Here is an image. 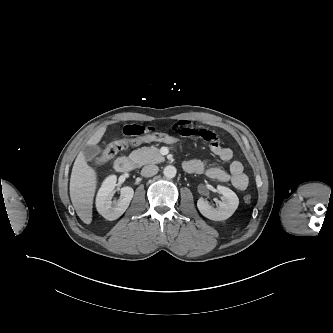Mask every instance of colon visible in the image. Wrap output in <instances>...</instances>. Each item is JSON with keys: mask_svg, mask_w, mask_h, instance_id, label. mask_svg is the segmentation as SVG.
<instances>
[{"mask_svg": "<svg viewBox=\"0 0 333 333\" xmlns=\"http://www.w3.org/2000/svg\"><path fill=\"white\" fill-rule=\"evenodd\" d=\"M147 142H160L170 146H180L183 143L181 137L163 132H153L145 135H141L134 138H124L119 140H113L109 142L100 155L96 158L97 164H103L112 159L118 152L127 148L130 145H140ZM245 203L249 204L252 201L251 195L244 196Z\"/></svg>", "mask_w": 333, "mask_h": 333, "instance_id": "obj_1", "label": "colon"}]
</instances>
